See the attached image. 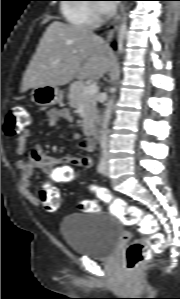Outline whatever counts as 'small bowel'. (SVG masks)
I'll list each match as a JSON object with an SVG mask.
<instances>
[{
    "label": "small bowel",
    "instance_id": "obj_1",
    "mask_svg": "<svg viewBox=\"0 0 180 299\" xmlns=\"http://www.w3.org/2000/svg\"><path fill=\"white\" fill-rule=\"evenodd\" d=\"M47 120L50 127H56L60 121L71 123L72 117L67 109L52 108L47 112ZM31 135V131L26 129L16 140L15 154L20 158L16 163V167L20 171L21 187L26 198L33 205H39L40 198L31 191V176L36 169L49 174L55 181L66 182L70 179L75 167L88 168L92 165V160L89 157L76 156L52 157L36 146L31 150L28 159L25 161L21 158L25 154V145ZM76 137L78 136L76 135ZM80 148L90 152L93 149L92 140L87 138L81 140Z\"/></svg>",
    "mask_w": 180,
    "mask_h": 299
}]
</instances>
